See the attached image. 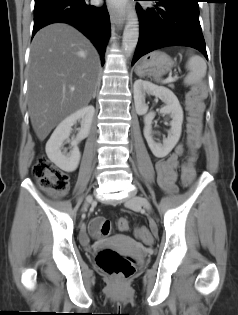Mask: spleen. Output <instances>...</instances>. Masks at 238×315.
<instances>
[{
  "mask_svg": "<svg viewBox=\"0 0 238 315\" xmlns=\"http://www.w3.org/2000/svg\"><path fill=\"white\" fill-rule=\"evenodd\" d=\"M186 68L189 71L187 76L184 79L186 85H194L199 83L205 76L207 65L205 60L198 56L193 55L189 58Z\"/></svg>",
  "mask_w": 238,
  "mask_h": 315,
  "instance_id": "1",
  "label": "spleen"
}]
</instances>
